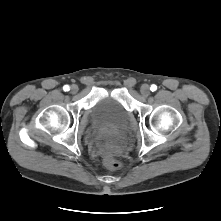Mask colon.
Returning <instances> with one entry per match:
<instances>
[{"label":"colon","mask_w":221,"mask_h":221,"mask_svg":"<svg viewBox=\"0 0 221 221\" xmlns=\"http://www.w3.org/2000/svg\"><path fill=\"white\" fill-rule=\"evenodd\" d=\"M104 163L105 165L110 168V169H114V170H117V169H120L121 168V164L118 160H116L112 154L108 153L105 155V158H104Z\"/></svg>","instance_id":"colon-1"}]
</instances>
